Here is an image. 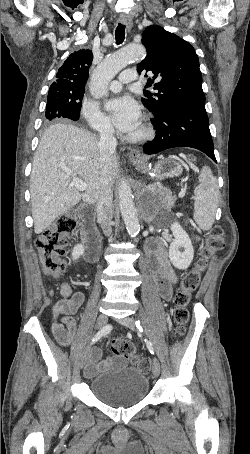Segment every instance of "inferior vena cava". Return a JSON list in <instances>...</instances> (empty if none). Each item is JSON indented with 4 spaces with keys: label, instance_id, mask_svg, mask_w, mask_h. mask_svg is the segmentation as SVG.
Wrapping results in <instances>:
<instances>
[{
    "label": "inferior vena cava",
    "instance_id": "obj_1",
    "mask_svg": "<svg viewBox=\"0 0 250 454\" xmlns=\"http://www.w3.org/2000/svg\"><path fill=\"white\" fill-rule=\"evenodd\" d=\"M112 128H104L100 132L99 150L101 162L100 193L97 200V220L105 234L112 233L111 221L113 218V190L109 175V165L117 147Z\"/></svg>",
    "mask_w": 250,
    "mask_h": 454
}]
</instances>
